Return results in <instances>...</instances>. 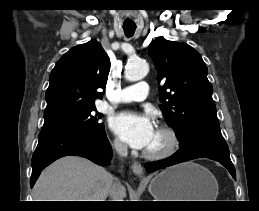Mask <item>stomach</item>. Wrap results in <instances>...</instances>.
<instances>
[{"label": "stomach", "instance_id": "0dacf381", "mask_svg": "<svg viewBox=\"0 0 259 211\" xmlns=\"http://www.w3.org/2000/svg\"><path fill=\"white\" fill-rule=\"evenodd\" d=\"M148 190L157 201H215L218 183L205 167L186 162L156 174Z\"/></svg>", "mask_w": 259, "mask_h": 211}]
</instances>
